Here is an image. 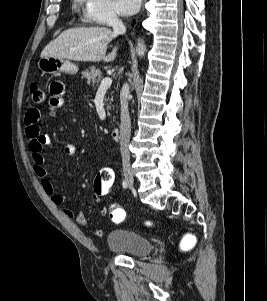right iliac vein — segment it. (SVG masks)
I'll return each instance as SVG.
<instances>
[{"label":"right iliac vein","mask_w":267,"mask_h":301,"mask_svg":"<svg viewBox=\"0 0 267 301\" xmlns=\"http://www.w3.org/2000/svg\"><path fill=\"white\" fill-rule=\"evenodd\" d=\"M123 175H124V178H125L127 184L129 185V187H132L134 184V178H133V173H132V169L130 166H128V165L124 166Z\"/></svg>","instance_id":"obj_1"}]
</instances>
